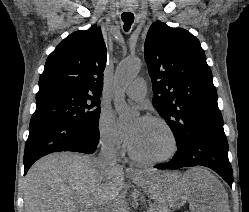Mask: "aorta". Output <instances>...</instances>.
<instances>
[{
	"label": "aorta",
	"mask_w": 249,
	"mask_h": 212,
	"mask_svg": "<svg viewBox=\"0 0 249 212\" xmlns=\"http://www.w3.org/2000/svg\"><path fill=\"white\" fill-rule=\"evenodd\" d=\"M140 67L141 61L138 58H128L121 61L116 68L114 105L121 120H129L137 115V111L126 104L122 90L136 78Z\"/></svg>",
	"instance_id": "obj_1"
}]
</instances>
